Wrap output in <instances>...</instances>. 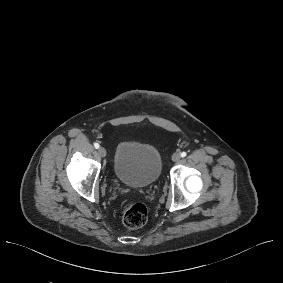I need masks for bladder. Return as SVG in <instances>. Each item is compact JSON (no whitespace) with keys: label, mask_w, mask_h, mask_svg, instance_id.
Returning a JSON list of instances; mask_svg holds the SVG:
<instances>
[{"label":"bladder","mask_w":283,"mask_h":283,"mask_svg":"<svg viewBox=\"0 0 283 283\" xmlns=\"http://www.w3.org/2000/svg\"><path fill=\"white\" fill-rule=\"evenodd\" d=\"M160 151L153 144L120 140L114 175L123 184L144 188L157 181L161 172Z\"/></svg>","instance_id":"obj_1"}]
</instances>
